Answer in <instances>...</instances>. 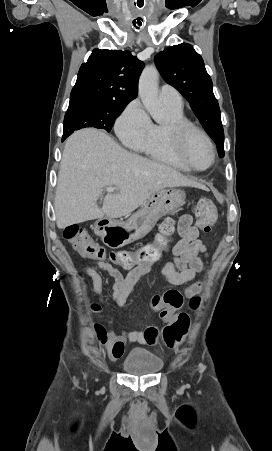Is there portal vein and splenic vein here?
Masks as SVG:
<instances>
[{
    "instance_id": "portal-vein-and-splenic-vein-1",
    "label": "portal vein and splenic vein",
    "mask_w": 272,
    "mask_h": 451,
    "mask_svg": "<svg viewBox=\"0 0 272 451\" xmlns=\"http://www.w3.org/2000/svg\"><path fill=\"white\" fill-rule=\"evenodd\" d=\"M115 188H106V192H114Z\"/></svg>"
}]
</instances>
